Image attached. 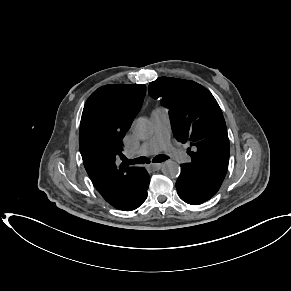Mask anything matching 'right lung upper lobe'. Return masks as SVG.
<instances>
[{"mask_svg": "<svg viewBox=\"0 0 291 291\" xmlns=\"http://www.w3.org/2000/svg\"><path fill=\"white\" fill-rule=\"evenodd\" d=\"M146 86L105 85L94 91L85 103L79 132V146L92 183L113 207L132 195L137 167L118 166L122 139L141 108Z\"/></svg>", "mask_w": 291, "mask_h": 291, "instance_id": "1", "label": "right lung upper lobe"}]
</instances>
